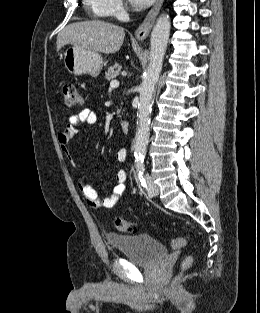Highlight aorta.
Masks as SVG:
<instances>
[{
  "mask_svg": "<svg viewBox=\"0 0 260 313\" xmlns=\"http://www.w3.org/2000/svg\"><path fill=\"white\" fill-rule=\"evenodd\" d=\"M170 27L169 15L161 14L151 33L149 65L139 90L138 127L134 145V157L137 164L143 163L146 155L150 135L151 102L162 70Z\"/></svg>",
  "mask_w": 260,
  "mask_h": 313,
  "instance_id": "obj_1",
  "label": "aorta"
}]
</instances>
